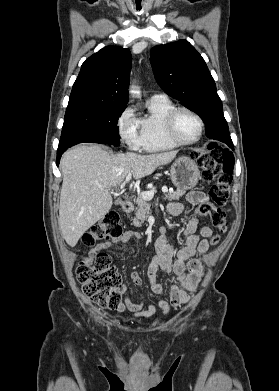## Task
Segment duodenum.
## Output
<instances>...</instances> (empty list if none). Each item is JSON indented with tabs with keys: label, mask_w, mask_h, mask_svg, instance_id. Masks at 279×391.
I'll return each instance as SVG.
<instances>
[{
	"label": "duodenum",
	"mask_w": 279,
	"mask_h": 391,
	"mask_svg": "<svg viewBox=\"0 0 279 391\" xmlns=\"http://www.w3.org/2000/svg\"><path fill=\"white\" fill-rule=\"evenodd\" d=\"M133 209V204L131 201L129 200H126V201H123L122 204H121V210L123 213L125 214H128L132 211Z\"/></svg>",
	"instance_id": "duodenum-1"
}]
</instances>
